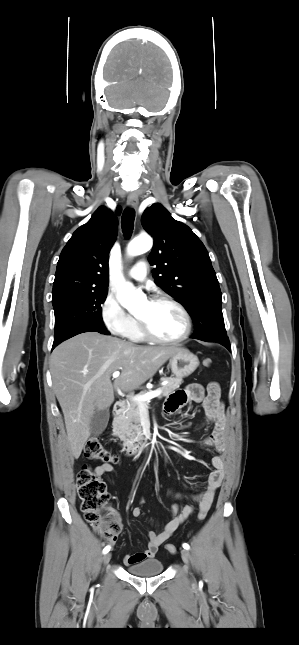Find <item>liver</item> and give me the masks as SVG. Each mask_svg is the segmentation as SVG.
Here are the masks:
<instances>
[{
	"mask_svg": "<svg viewBox=\"0 0 299 645\" xmlns=\"http://www.w3.org/2000/svg\"><path fill=\"white\" fill-rule=\"evenodd\" d=\"M182 349L138 346L116 337L87 332L58 345L50 359L53 388L61 406L72 455L78 459L96 410L110 407L114 391H132L153 377ZM121 370L111 382L113 372Z\"/></svg>",
	"mask_w": 299,
	"mask_h": 645,
	"instance_id": "6515ba94",
	"label": "liver"
}]
</instances>
